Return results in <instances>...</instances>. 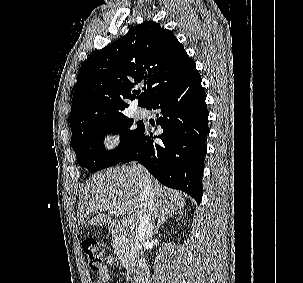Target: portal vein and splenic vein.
I'll list each match as a JSON object with an SVG mask.
<instances>
[{"mask_svg": "<svg viewBox=\"0 0 303 283\" xmlns=\"http://www.w3.org/2000/svg\"><path fill=\"white\" fill-rule=\"evenodd\" d=\"M117 212H118V211H112V213H117ZM121 222H122V225L125 226V227L129 226V224H130V221H129L128 218H123V219L121 220Z\"/></svg>", "mask_w": 303, "mask_h": 283, "instance_id": "18ae733b", "label": "portal vein and splenic vein"}]
</instances>
